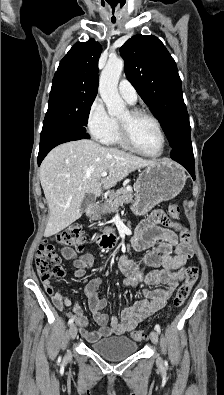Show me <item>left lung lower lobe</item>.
<instances>
[{"instance_id": "obj_1", "label": "left lung lower lobe", "mask_w": 224, "mask_h": 395, "mask_svg": "<svg viewBox=\"0 0 224 395\" xmlns=\"http://www.w3.org/2000/svg\"><path fill=\"white\" fill-rule=\"evenodd\" d=\"M191 128L181 133V136L172 147L170 157L184 166L195 179L194 156L190 138Z\"/></svg>"}]
</instances>
